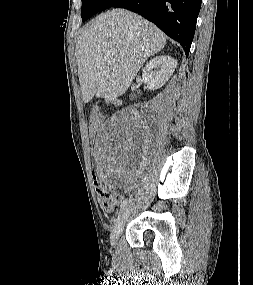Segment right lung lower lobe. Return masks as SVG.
Masks as SVG:
<instances>
[{
	"label": "right lung lower lobe",
	"mask_w": 253,
	"mask_h": 285,
	"mask_svg": "<svg viewBox=\"0 0 253 285\" xmlns=\"http://www.w3.org/2000/svg\"><path fill=\"white\" fill-rule=\"evenodd\" d=\"M202 0H118L112 7L131 10L178 41L188 56Z\"/></svg>",
	"instance_id": "obj_1"
}]
</instances>
